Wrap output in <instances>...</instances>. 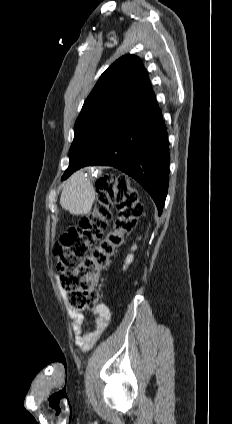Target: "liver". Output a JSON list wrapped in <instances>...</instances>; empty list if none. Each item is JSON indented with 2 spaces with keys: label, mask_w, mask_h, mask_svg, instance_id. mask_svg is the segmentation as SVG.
I'll return each mask as SVG.
<instances>
[{
  "label": "liver",
  "mask_w": 232,
  "mask_h": 424,
  "mask_svg": "<svg viewBox=\"0 0 232 424\" xmlns=\"http://www.w3.org/2000/svg\"><path fill=\"white\" fill-rule=\"evenodd\" d=\"M95 193L83 172L74 173L65 183L60 204L73 215H86L91 212Z\"/></svg>",
  "instance_id": "liver-1"
}]
</instances>
